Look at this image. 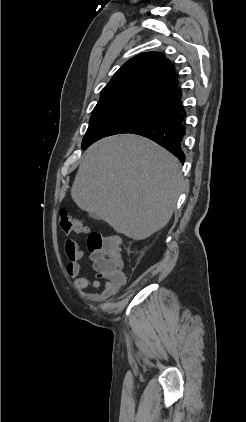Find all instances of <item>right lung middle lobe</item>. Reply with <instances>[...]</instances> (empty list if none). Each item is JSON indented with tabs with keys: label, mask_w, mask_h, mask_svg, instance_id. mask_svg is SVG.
I'll list each match as a JSON object with an SVG mask.
<instances>
[{
	"label": "right lung middle lobe",
	"mask_w": 246,
	"mask_h": 422,
	"mask_svg": "<svg viewBox=\"0 0 246 422\" xmlns=\"http://www.w3.org/2000/svg\"><path fill=\"white\" fill-rule=\"evenodd\" d=\"M160 115V108L137 105H103L92 111L88 130L82 141L85 149L97 140L115 134L129 133Z\"/></svg>",
	"instance_id": "1"
}]
</instances>
